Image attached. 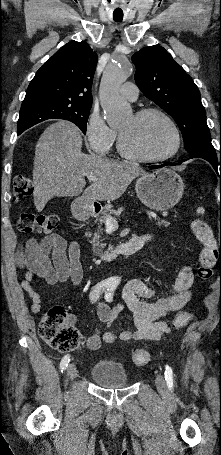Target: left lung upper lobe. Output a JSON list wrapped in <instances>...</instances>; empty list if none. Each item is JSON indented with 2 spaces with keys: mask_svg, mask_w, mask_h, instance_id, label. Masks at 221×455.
<instances>
[{
  "mask_svg": "<svg viewBox=\"0 0 221 455\" xmlns=\"http://www.w3.org/2000/svg\"><path fill=\"white\" fill-rule=\"evenodd\" d=\"M139 89L178 124L188 153L215 150L200 92L192 78L161 46L142 48L132 56Z\"/></svg>",
  "mask_w": 221,
  "mask_h": 455,
  "instance_id": "left-lung-upper-lobe-1",
  "label": "left lung upper lobe"
}]
</instances>
